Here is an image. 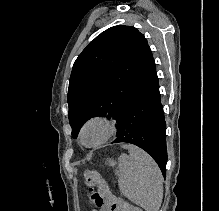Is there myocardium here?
<instances>
[{
  "label": "myocardium",
  "mask_w": 219,
  "mask_h": 211,
  "mask_svg": "<svg viewBox=\"0 0 219 211\" xmlns=\"http://www.w3.org/2000/svg\"><path fill=\"white\" fill-rule=\"evenodd\" d=\"M91 125H99L102 127V135L100 139L94 144H85L83 141V135L85 130ZM116 120L107 115H94L82 124L79 131V141L82 146L86 148H98L106 143L116 132Z\"/></svg>",
  "instance_id": "obj_1"
}]
</instances>
